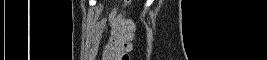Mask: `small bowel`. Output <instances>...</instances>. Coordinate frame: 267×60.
<instances>
[{
    "label": "small bowel",
    "mask_w": 267,
    "mask_h": 60,
    "mask_svg": "<svg viewBox=\"0 0 267 60\" xmlns=\"http://www.w3.org/2000/svg\"><path fill=\"white\" fill-rule=\"evenodd\" d=\"M108 22H101L98 24L97 28H96V35L97 37L100 36L101 32L105 29V27L107 26ZM112 28L114 29V23L111 21L110 22ZM98 48V46H96V49Z\"/></svg>",
    "instance_id": "c3829d8e"
}]
</instances>
